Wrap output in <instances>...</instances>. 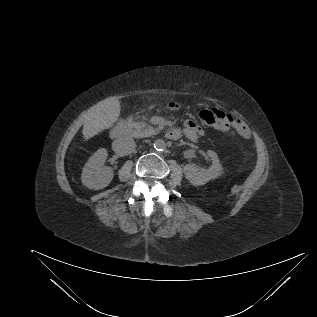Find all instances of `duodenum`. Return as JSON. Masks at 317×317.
Segmentation results:
<instances>
[{
  "label": "duodenum",
  "mask_w": 317,
  "mask_h": 317,
  "mask_svg": "<svg viewBox=\"0 0 317 317\" xmlns=\"http://www.w3.org/2000/svg\"><path fill=\"white\" fill-rule=\"evenodd\" d=\"M128 133V126L126 121H120L118 122L111 131V137L112 139H120L127 135ZM167 138L170 140H176L177 138V131L176 130H170L166 134Z\"/></svg>",
  "instance_id": "1"
}]
</instances>
